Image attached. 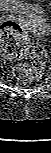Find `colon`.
I'll use <instances>...</instances> for the list:
<instances>
[{"label":"colon","mask_w":51,"mask_h":153,"mask_svg":"<svg viewBox=\"0 0 51 153\" xmlns=\"http://www.w3.org/2000/svg\"><path fill=\"white\" fill-rule=\"evenodd\" d=\"M42 2L44 0H34ZM30 40L25 30L15 21H5L1 25V52L10 60L20 61L29 51ZM47 53L41 43L30 52L31 65L18 63L13 68V76L22 83L37 80L46 64Z\"/></svg>","instance_id":"colon-1"}]
</instances>
